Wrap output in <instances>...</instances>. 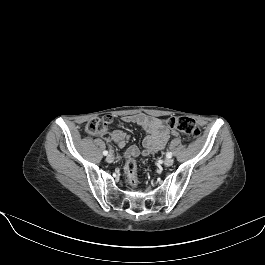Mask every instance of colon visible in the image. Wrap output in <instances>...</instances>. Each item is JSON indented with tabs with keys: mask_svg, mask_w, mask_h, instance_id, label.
Returning a JSON list of instances; mask_svg holds the SVG:
<instances>
[{
	"mask_svg": "<svg viewBox=\"0 0 265 265\" xmlns=\"http://www.w3.org/2000/svg\"><path fill=\"white\" fill-rule=\"evenodd\" d=\"M111 122L112 117L110 115L92 119L86 125V132L91 135L106 134L109 131V125ZM165 124L168 127L177 129L193 138H198L201 134L200 128L196 122L192 118L186 116L171 117L166 120ZM124 169L129 185L136 187L138 184L136 160L133 157L129 158Z\"/></svg>",
	"mask_w": 265,
	"mask_h": 265,
	"instance_id": "1",
	"label": "colon"
}]
</instances>
